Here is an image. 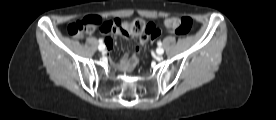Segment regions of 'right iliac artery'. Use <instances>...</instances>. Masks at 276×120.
Wrapping results in <instances>:
<instances>
[{"instance_id":"82829eb1","label":"right iliac artery","mask_w":276,"mask_h":120,"mask_svg":"<svg viewBox=\"0 0 276 120\" xmlns=\"http://www.w3.org/2000/svg\"><path fill=\"white\" fill-rule=\"evenodd\" d=\"M99 43H100V45H102L103 44V39H99Z\"/></svg>"}]
</instances>
